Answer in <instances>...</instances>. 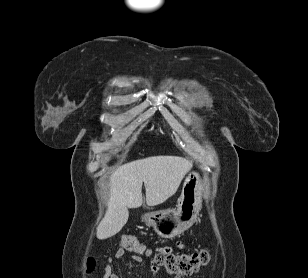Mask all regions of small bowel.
Segmentation results:
<instances>
[{
	"label": "small bowel",
	"mask_w": 308,
	"mask_h": 278,
	"mask_svg": "<svg viewBox=\"0 0 308 278\" xmlns=\"http://www.w3.org/2000/svg\"><path fill=\"white\" fill-rule=\"evenodd\" d=\"M179 247H181L180 244H178ZM155 252H163V253H173V249L171 247L165 246V247H158L155 249ZM125 256V252L123 249H119L115 252L113 255V258L116 260H120ZM131 259L135 263H140L142 261V258L140 255H132ZM112 257L108 259L107 264L104 267V275L102 278H120L119 275L114 271L112 265ZM153 269L156 270L155 265L152 263ZM175 278H181V276L177 275Z\"/></svg>",
	"instance_id": "c3829d8e"
}]
</instances>
